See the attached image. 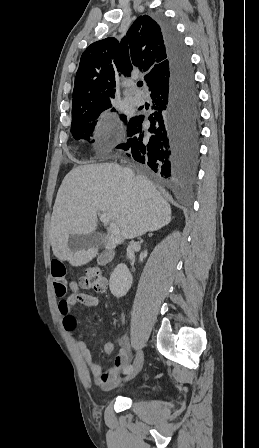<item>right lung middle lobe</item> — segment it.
<instances>
[{
    "instance_id": "obj_1",
    "label": "right lung middle lobe",
    "mask_w": 259,
    "mask_h": 448,
    "mask_svg": "<svg viewBox=\"0 0 259 448\" xmlns=\"http://www.w3.org/2000/svg\"><path fill=\"white\" fill-rule=\"evenodd\" d=\"M110 107H112V104L72 112L71 133L73 137L76 140H89V137L92 135L94 126L96 125V119L99 117L101 112ZM131 119L127 121L126 116L122 115V120L127 125L131 121Z\"/></svg>"
}]
</instances>
